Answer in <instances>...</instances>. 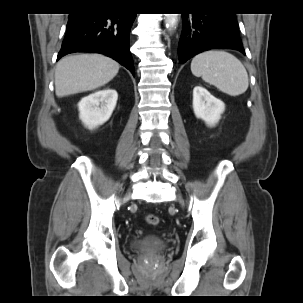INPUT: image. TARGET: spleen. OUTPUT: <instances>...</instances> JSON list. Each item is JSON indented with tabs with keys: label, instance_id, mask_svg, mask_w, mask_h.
I'll list each match as a JSON object with an SVG mask.
<instances>
[{
	"label": "spleen",
	"instance_id": "1",
	"mask_svg": "<svg viewBox=\"0 0 303 303\" xmlns=\"http://www.w3.org/2000/svg\"><path fill=\"white\" fill-rule=\"evenodd\" d=\"M191 72L230 96L243 94L249 85L244 65L226 51L210 50L196 55Z\"/></svg>",
	"mask_w": 303,
	"mask_h": 303
}]
</instances>
